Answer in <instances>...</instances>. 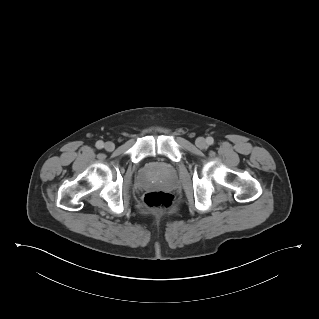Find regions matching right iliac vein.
Listing matches in <instances>:
<instances>
[{"mask_svg":"<svg viewBox=\"0 0 319 319\" xmlns=\"http://www.w3.org/2000/svg\"><path fill=\"white\" fill-rule=\"evenodd\" d=\"M104 148H105L107 151H113L114 148H115V145H114L113 142L108 141V142L105 143Z\"/></svg>","mask_w":319,"mask_h":319,"instance_id":"right-iliac-vein-1","label":"right iliac vein"}]
</instances>
